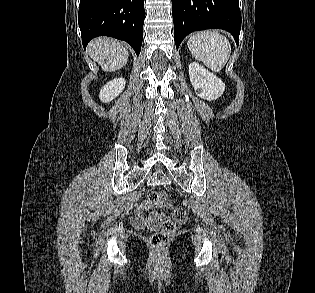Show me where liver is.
Instances as JSON below:
<instances>
[{
    "instance_id": "6515ba94",
    "label": "liver",
    "mask_w": 315,
    "mask_h": 293,
    "mask_svg": "<svg viewBox=\"0 0 315 293\" xmlns=\"http://www.w3.org/2000/svg\"><path fill=\"white\" fill-rule=\"evenodd\" d=\"M91 58L99 63L106 72L121 69L127 62L129 54L127 49L119 41L99 37L92 40L88 46Z\"/></svg>"
}]
</instances>
